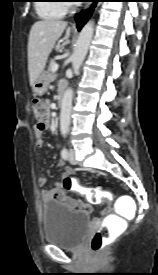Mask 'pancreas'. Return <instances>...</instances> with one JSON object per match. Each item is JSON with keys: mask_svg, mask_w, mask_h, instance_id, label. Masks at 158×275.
Instances as JSON below:
<instances>
[{"mask_svg": "<svg viewBox=\"0 0 158 275\" xmlns=\"http://www.w3.org/2000/svg\"><path fill=\"white\" fill-rule=\"evenodd\" d=\"M55 64H56L55 59H52L49 63V67H48V71H47V76H48L49 81H53L57 77V74L52 71V68Z\"/></svg>", "mask_w": 158, "mask_h": 275, "instance_id": "pancreas-1", "label": "pancreas"}]
</instances>
